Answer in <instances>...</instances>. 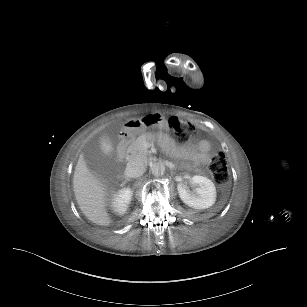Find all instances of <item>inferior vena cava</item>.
Here are the masks:
<instances>
[{
  "label": "inferior vena cava",
  "instance_id": "1",
  "mask_svg": "<svg viewBox=\"0 0 307 307\" xmlns=\"http://www.w3.org/2000/svg\"><path fill=\"white\" fill-rule=\"evenodd\" d=\"M146 168L141 157L131 159L126 166L125 174L131 178H137L144 174Z\"/></svg>",
  "mask_w": 307,
  "mask_h": 307
}]
</instances>
